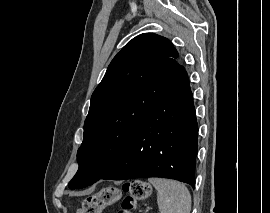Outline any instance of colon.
Listing matches in <instances>:
<instances>
[{"mask_svg":"<svg viewBox=\"0 0 270 213\" xmlns=\"http://www.w3.org/2000/svg\"><path fill=\"white\" fill-rule=\"evenodd\" d=\"M127 195L121 202L118 213H134L138 203L148 198L151 186L142 180L130 181L126 186ZM120 197V191L106 187L100 192L87 197L77 208L76 213H102L107 206L114 204Z\"/></svg>","mask_w":270,"mask_h":213,"instance_id":"obj_1","label":"colon"}]
</instances>
